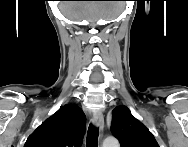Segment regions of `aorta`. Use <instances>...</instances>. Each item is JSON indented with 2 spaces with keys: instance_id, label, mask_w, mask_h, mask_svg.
Returning a JSON list of instances; mask_svg holds the SVG:
<instances>
[{
  "instance_id": "1",
  "label": "aorta",
  "mask_w": 188,
  "mask_h": 147,
  "mask_svg": "<svg viewBox=\"0 0 188 147\" xmlns=\"http://www.w3.org/2000/svg\"><path fill=\"white\" fill-rule=\"evenodd\" d=\"M103 147H119V142L114 137H108L104 140Z\"/></svg>"
}]
</instances>
